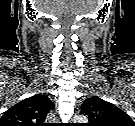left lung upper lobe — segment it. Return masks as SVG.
<instances>
[{"label":"left lung upper lobe","mask_w":135,"mask_h":126,"mask_svg":"<svg viewBox=\"0 0 135 126\" xmlns=\"http://www.w3.org/2000/svg\"><path fill=\"white\" fill-rule=\"evenodd\" d=\"M80 113L88 117V126H135L127 113L97 96L87 98Z\"/></svg>","instance_id":"5c2ea615"}]
</instances>
